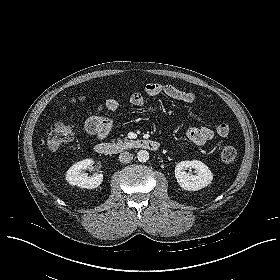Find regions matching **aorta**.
I'll return each mask as SVG.
<instances>
[{
    "mask_svg": "<svg viewBox=\"0 0 280 280\" xmlns=\"http://www.w3.org/2000/svg\"><path fill=\"white\" fill-rule=\"evenodd\" d=\"M138 161L146 162L149 160V152L147 150H139L137 153Z\"/></svg>",
    "mask_w": 280,
    "mask_h": 280,
    "instance_id": "aorta-1",
    "label": "aorta"
}]
</instances>
